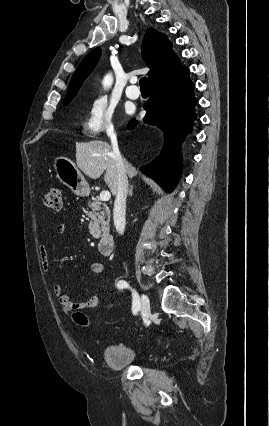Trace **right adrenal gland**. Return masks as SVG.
Masks as SVG:
<instances>
[{
	"label": "right adrenal gland",
	"mask_w": 269,
	"mask_h": 426,
	"mask_svg": "<svg viewBox=\"0 0 269 426\" xmlns=\"http://www.w3.org/2000/svg\"><path fill=\"white\" fill-rule=\"evenodd\" d=\"M132 194H133V186L131 185L129 189V195L132 196Z\"/></svg>",
	"instance_id": "1"
}]
</instances>
